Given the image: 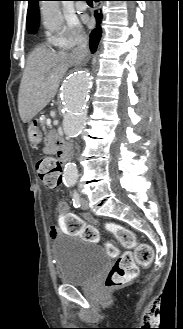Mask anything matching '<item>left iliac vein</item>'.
Wrapping results in <instances>:
<instances>
[{
    "instance_id": "obj_1",
    "label": "left iliac vein",
    "mask_w": 183,
    "mask_h": 329,
    "mask_svg": "<svg viewBox=\"0 0 183 329\" xmlns=\"http://www.w3.org/2000/svg\"><path fill=\"white\" fill-rule=\"evenodd\" d=\"M81 208L83 210H87L88 209V201L86 199H82L81 200Z\"/></svg>"
}]
</instances>
